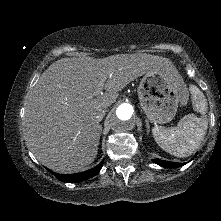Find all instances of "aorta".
<instances>
[{"mask_svg": "<svg viewBox=\"0 0 221 221\" xmlns=\"http://www.w3.org/2000/svg\"><path fill=\"white\" fill-rule=\"evenodd\" d=\"M110 125L116 133H127L135 127L134 108L129 103L119 104L111 115Z\"/></svg>", "mask_w": 221, "mask_h": 221, "instance_id": "obj_1", "label": "aorta"}]
</instances>
